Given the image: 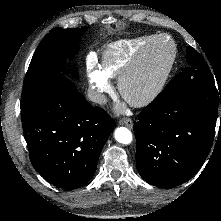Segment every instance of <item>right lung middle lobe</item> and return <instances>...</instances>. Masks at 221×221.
Listing matches in <instances>:
<instances>
[{
	"label": "right lung middle lobe",
	"mask_w": 221,
	"mask_h": 221,
	"mask_svg": "<svg viewBox=\"0 0 221 221\" xmlns=\"http://www.w3.org/2000/svg\"><path fill=\"white\" fill-rule=\"evenodd\" d=\"M86 27L77 29H52L41 41L30 62L23 85L21 107L27 105L55 81L64 76V61L72 59ZM74 78L78 73L74 72Z\"/></svg>",
	"instance_id": "obj_1"
}]
</instances>
